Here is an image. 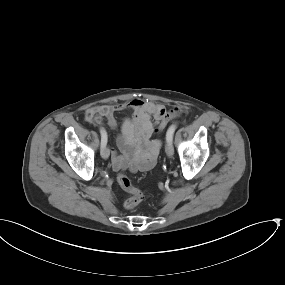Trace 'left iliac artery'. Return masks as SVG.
<instances>
[{
	"instance_id": "1",
	"label": "left iliac artery",
	"mask_w": 285,
	"mask_h": 285,
	"mask_svg": "<svg viewBox=\"0 0 285 285\" xmlns=\"http://www.w3.org/2000/svg\"><path fill=\"white\" fill-rule=\"evenodd\" d=\"M176 128H177V125H176V124H172V125L168 128L167 134H166V139H167V141H172L173 134H174Z\"/></svg>"
}]
</instances>
